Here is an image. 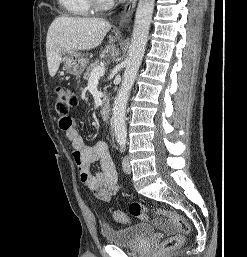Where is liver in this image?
Here are the masks:
<instances>
[{
	"label": "liver",
	"instance_id": "liver-1",
	"mask_svg": "<svg viewBox=\"0 0 247 257\" xmlns=\"http://www.w3.org/2000/svg\"><path fill=\"white\" fill-rule=\"evenodd\" d=\"M111 24L99 18L60 16L51 23L46 37V55L51 77L58 71L67 51H84L98 47Z\"/></svg>",
	"mask_w": 247,
	"mask_h": 257
}]
</instances>
